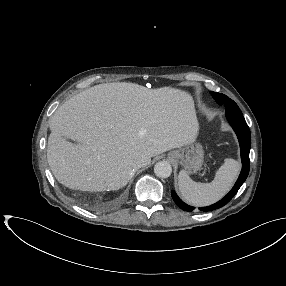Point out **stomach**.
I'll use <instances>...</instances> for the list:
<instances>
[{
    "label": "stomach",
    "mask_w": 286,
    "mask_h": 286,
    "mask_svg": "<svg viewBox=\"0 0 286 286\" xmlns=\"http://www.w3.org/2000/svg\"><path fill=\"white\" fill-rule=\"evenodd\" d=\"M169 157L179 162L187 173H195L201 169L204 151L200 144L191 143L185 147L171 151Z\"/></svg>",
    "instance_id": "stomach-1"
}]
</instances>
